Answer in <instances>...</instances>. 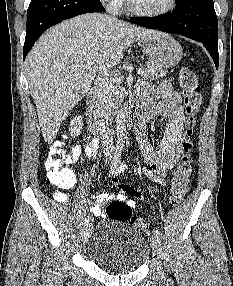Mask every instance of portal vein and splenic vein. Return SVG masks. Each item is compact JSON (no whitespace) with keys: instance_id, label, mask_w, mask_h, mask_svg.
<instances>
[{"instance_id":"18ae733b","label":"portal vein and splenic vein","mask_w":233,"mask_h":286,"mask_svg":"<svg viewBox=\"0 0 233 286\" xmlns=\"http://www.w3.org/2000/svg\"><path fill=\"white\" fill-rule=\"evenodd\" d=\"M137 73H138L139 75H142V74H144V70L138 69V70H137Z\"/></svg>"}]
</instances>
